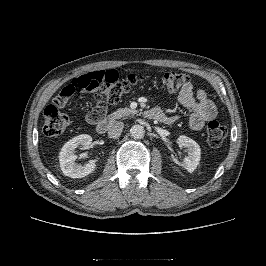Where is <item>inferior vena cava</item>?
<instances>
[{"mask_svg": "<svg viewBox=\"0 0 266 266\" xmlns=\"http://www.w3.org/2000/svg\"><path fill=\"white\" fill-rule=\"evenodd\" d=\"M124 124L121 121L113 122L108 129V136L110 138H118L123 130Z\"/></svg>", "mask_w": 266, "mask_h": 266, "instance_id": "1", "label": "inferior vena cava"}]
</instances>
